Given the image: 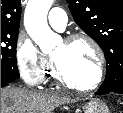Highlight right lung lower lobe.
<instances>
[{"label":"right lung lower lobe","instance_id":"obj_1","mask_svg":"<svg viewBox=\"0 0 123 113\" xmlns=\"http://www.w3.org/2000/svg\"><path fill=\"white\" fill-rule=\"evenodd\" d=\"M9 84H10V82H3V81H1V87L8 86Z\"/></svg>","mask_w":123,"mask_h":113}]
</instances>
